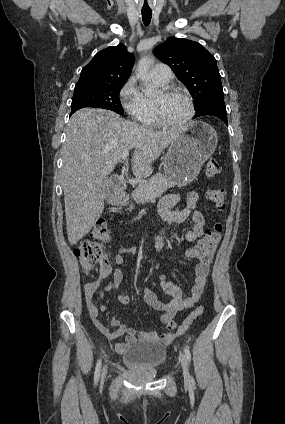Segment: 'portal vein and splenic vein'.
<instances>
[{"mask_svg": "<svg viewBox=\"0 0 285 424\" xmlns=\"http://www.w3.org/2000/svg\"><path fill=\"white\" fill-rule=\"evenodd\" d=\"M128 152H125V153H123L122 155H121V159L122 160H125L127 157H128Z\"/></svg>", "mask_w": 285, "mask_h": 424, "instance_id": "18ae733b", "label": "portal vein and splenic vein"}]
</instances>
